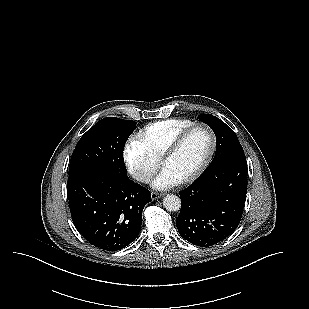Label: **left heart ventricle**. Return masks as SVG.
<instances>
[{
  "instance_id": "b2bd125f",
  "label": "left heart ventricle",
  "mask_w": 309,
  "mask_h": 309,
  "mask_svg": "<svg viewBox=\"0 0 309 309\" xmlns=\"http://www.w3.org/2000/svg\"><path fill=\"white\" fill-rule=\"evenodd\" d=\"M210 149V136L205 128L193 129L178 151L168 159L164 168L173 172L179 180L194 172L203 162Z\"/></svg>"
}]
</instances>
